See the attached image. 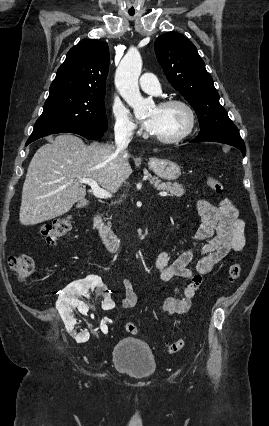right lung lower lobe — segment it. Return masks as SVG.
I'll return each instance as SVG.
<instances>
[{"label":"right lung lower lobe","mask_w":269,"mask_h":426,"mask_svg":"<svg viewBox=\"0 0 269 426\" xmlns=\"http://www.w3.org/2000/svg\"><path fill=\"white\" fill-rule=\"evenodd\" d=\"M103 132L104 131H100V130L90 129V128L84 127V128H81V129L76 130V131L71 132V133H76V134H79V135H81V136H83V137H85L87 139H92L93 140V139H98V138L102 137L103 136ZM31 142H33V141L28 140L27 143H26V145H28Z\"/></svg>","instance_id":"obj_1"}]
</instances>
